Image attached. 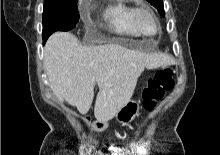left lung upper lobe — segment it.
<instances>
[{"mask_svg":"<svg viewBox=\"0 0 220 155\" xmlns=\"http://www.w3.org/2000/svg\"><path fill=\"white\" fill-rule=\"evenodd\" d=\"M148 2L153 5L161 15H165L163 1L162 0H148Z\"/></svg>","mask_w":220,"mask_h":155,"instance_id":"5c2ea615","label":"left lung upper lobe"}]
</instances>
